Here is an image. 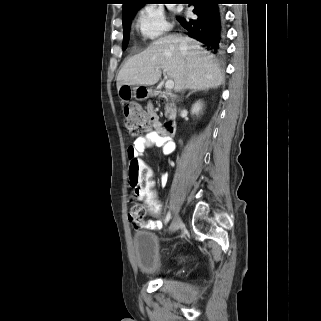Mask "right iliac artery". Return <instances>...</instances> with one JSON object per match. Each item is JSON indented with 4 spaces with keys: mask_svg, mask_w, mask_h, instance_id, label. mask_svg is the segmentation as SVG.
<instances>
[{
    "mask_svg": "<svg viewBox=\"0 0 321 321\" xmlns=\"http://www.w3.org/2000/svg\"><path fill=\"white\" fill-rule=\"evenodd\" d=\"M170 219H171V214L170 212H168L165 218V223H168Z\"/></svg>",
    "mask_w": 321,
    "mask_h": 321,
    "instance_id": "82829eb1",
    "label": "right iliac artery"
}]
</instances>
